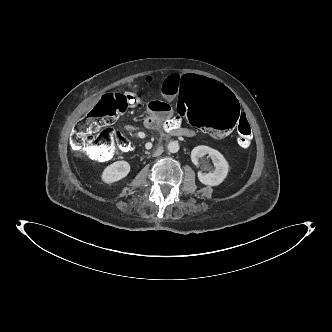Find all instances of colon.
<instances>
[{
    "mask_svg": "<svg viewBox=\"0 0 332 332\" xmlns=\"http://www.w3.org/2000/svg\"><path fill=\"white\" fill-rule=\"evenodd\" d=\"M133 98L121 93L104 95L76 123L70 138L71 149L97 162H106L119 152L130 151L129 139L107 126L131 105ZM175 99L180 115L205 134L223 137L237 126V144L242 148L250 146L251 127L247 120L239 121L238 99L208 74L191 72L183 76L176 85Z\"/></svg>",
    "mask_w": 332,
    "mask_h": 332,
    "instance_id": "obj_1",
    "label": "colon"
}]
</instances>
